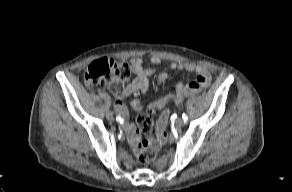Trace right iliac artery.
Segmentation results:
<instances>
[{
    "instance_id": "obj_1",
    "label": "right iliac artery",
    "mask_w": 292,
    "mask_h": 192,
    "mask_svg": "<svg viewBox=\"0 0 292 192\" xmlns=\"http://www.w3.org/2000/svg\"><path fill=\"white\" fill-rule=\"evenodd\" d=\"M117 122L126 123V118H122L120 116L116 117Z\"/></svg>"
}]
</instances>
